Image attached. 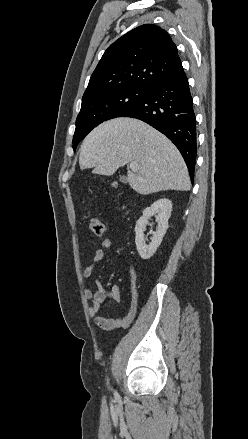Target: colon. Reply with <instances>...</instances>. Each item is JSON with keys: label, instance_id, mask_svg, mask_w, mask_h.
I'll return each mask as SVG.
<instances>
[{"label": "colon", "instance_id": "5ec220e1", "mask_svg": "<svg viewBox=\"0 0 248 439\" xmlns=\"http://www.w3.org/2000/svg\"><path fill=\"white\" fill-rule=\"evenodd\" d=\"M89 227H90L91 232L97 237L102 236L104 231H105V226H104L101 218L97 214H93L91 216L90 221H89Z\"/></svg>", "mask_w": 248, "mask_h": 439}]
</instances>
